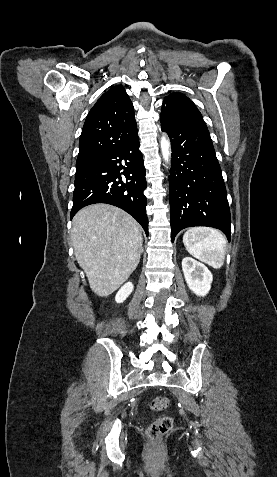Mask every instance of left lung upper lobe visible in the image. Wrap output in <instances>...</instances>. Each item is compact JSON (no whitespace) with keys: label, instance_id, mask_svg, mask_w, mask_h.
Instances as JSON below:
<instances>
[{"label":"left lung upper lobe","instance_id":"obj_1","mask_svg":"<svg viewBox=\"0 0 277 477\" xmlns=\"http://www.w3.org/2000/svg\"><path fill=\"white\" fill-rule=\"evenodd\" d=\"M161 124L170 126H192L207 129L195 104L181 93H172L165 98L161 111Z\"/></svg>","mask_w":277,"mask_h":477}]
</instances>
